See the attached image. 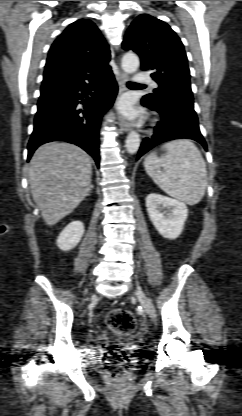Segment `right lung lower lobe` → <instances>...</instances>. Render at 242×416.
Here are the masks:
<instances>
[{"mask_svg": "<svg viewBox=\"0 0 242 416\" xmlns=\"http://www.w3.org/2000/svg\"><path fill=\"white\" fill-rule=\"evenodd\" d=\"M118 87L112 71L86 82L41 92L28 160L40 145L57 140L76 144L99 166V128Z\"/></svg>", "mask_w": 242, "mask_h": 416, "instance_id": "1", "label": "right lung lower lobe"}]
</instances>
